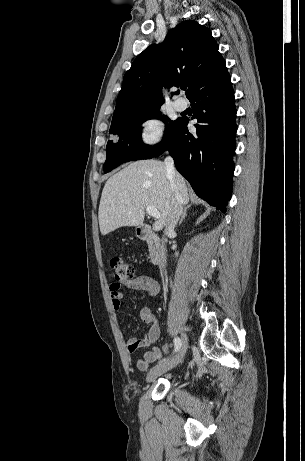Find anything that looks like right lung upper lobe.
<instances>
[{
  "label": "right lung upper lobe",
  "instance_id": "obj_1",
  "mask_svg": "<svg viewBox=\"0 0 305 461\" xmlns=\"http://www.w3.org/2000/svg\"><path fill=\"white\" fill-rule=\"evenodd\" d=\"M210 29L186 20L171 29L160 44L150 45L123 78L111 127L128 117L159 108L162 86L187 84V96L219 79L227 68ZM175 94V93H173Z\"/></svg>",
  "mask_w": 305,
  "mask_h": 461
}]
</instances>
